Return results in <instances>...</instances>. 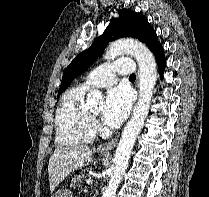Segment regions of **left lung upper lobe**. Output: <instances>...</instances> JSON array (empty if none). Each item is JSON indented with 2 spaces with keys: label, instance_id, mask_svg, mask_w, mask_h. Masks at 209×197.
I'll return each instance as SVG.
<instances>
[{
  "label": "left lung upper lobe",
  "instance_id": "left-lung-upper-lobe-1",
  "mask_svg": "<svg viewBox=\"0 0 209 197\" xmlns=\"http://www.w3.org/2000/svg\"><path fill=\"white\" fill-rule=\"evenodd\" d=\"M122 37H133L144 42L151 51L160 43L145 16L130 9H122L118 18H113L104 33L95 39L91 47L81 52L65 69L57 99L73 79L91 66L100 56L109 41Z\"/></svg>",
  "mask_w": 209,
  "mask_h": 197
}]
</instances>
